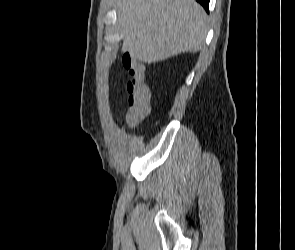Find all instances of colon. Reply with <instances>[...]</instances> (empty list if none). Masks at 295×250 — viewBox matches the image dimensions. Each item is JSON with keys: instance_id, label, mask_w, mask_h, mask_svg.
<instances>
[{"instance_id": "1", "label": "colon", "mask_w": 295, "mask_h": 250, "mask_svg": "<svg viewBox=\"0 0 295 250\" xmlns=\"http://www.w3.org/2000/svg\"><path fill=\"white\" fill-rule=\"evenodd\" d=\"M150 92L144 77H132L127 83V109L126 122L136 126L142 122L149 113Z\"/></svg>"}]
</instances>
